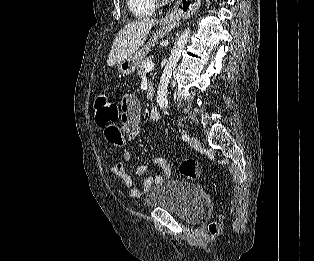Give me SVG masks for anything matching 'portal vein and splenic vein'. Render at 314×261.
Here are the masks:
<instances>
[{
    "mask_svg": "<svg viewBox=\"0 0 314 261\" xmlns=\"http://www.w3.org/2000/svg\"><path fill=\"white\" fill-rule=\"evenodd\" d=\"M154 68V63L152 60L146 61V63L144 64V69L145 72H149Z\"/></svg>",
    "mask_w": 314,
    "mask_h": 261,
    "instance_id": "obj_1",
    "label": "portal vein and splenic vein"
}]
</instances>
